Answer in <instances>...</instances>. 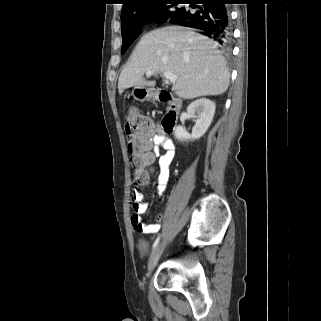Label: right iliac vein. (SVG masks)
Listing matches in <instances>:
<instances>
[{"label": "right iliac vein", "instance_id": "obj_1", "mask_svg": "<svg viewBox=\"0 0 321 321\" xmlns=\"http://www.w3.org/2000/svg\"><path fill=\"white\" fill-rule=\"evenodd\" d=\"M165 247V243L161 242L156 249L153 251L149 263H148V274L151 273V271L154 269L156 263L158 262V259L160 257V255L162 254L163 250Z\"/></svg>", "mask_w": 321, "mask_h": 321}]
</instances>
